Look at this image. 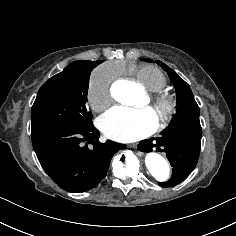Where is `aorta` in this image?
Here are the masks:
<instances>
[{"instance_id":"obj_1","label":"aorta","mask_w":236,"mask_h":236,"mask_svg":"<svg viewBox=\"0 0 236 236\" xmlns=\"http://www.w3.org/2000/svg\"><path fill=\"white\" fill-rule=\"evenodd\" d=\"M114 94L117 98L125 103H132L135 100V91L133 85L129 82H124L117 85L114 89ZM145 164L151 175L157 181H167L170 177V167L168 162L160 154L149 152L145 157Z\"/></svg>"}]
</instances>
